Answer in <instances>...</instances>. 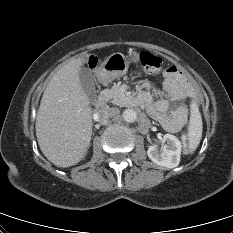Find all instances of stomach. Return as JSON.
<instances>
[{
	"label": "stomach",
	"instance_id": "0dacf381",
	"mask_svg": "<svg viewBox=\"0 0 233 233\" xmlns=\"http://www.w3.org/2000/svg\"><path fill=\"white\" fill-rule=\"evenodd\" d=\"M138 58L137 52H133L130 58L122 53H113L101 64L98 72L99 79L102 82H110L125 75L131 61H137Z\"/></svg>",
	"mask_w": 233,
	"mask_h": 233
}]
</instances>
